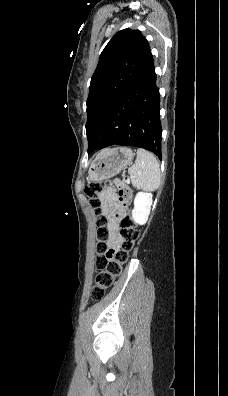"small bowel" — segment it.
<instances>
[{
	"label": "small bowel",
	"instance_id": "c3829d8e",
	"mask_svg": "<svg viewBox=\"0 0 228 396\" xmlns=\"http://www.w3.org/2000/svg\"><path fill=\"white\" fill-rule=\"evenodd\" d=\"M100 200L103 215L107 219L106 227L110 233L109 244L115 247L118 241L119 218L122 214V209L117 202V196L109 190L101 194Z\"/></svg>",
	"mask_w": 228,
	"mask_h": 396
}]
</instances>
